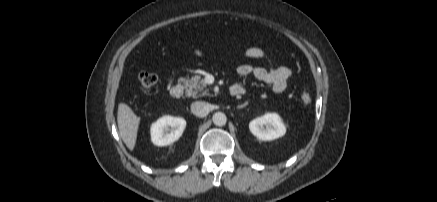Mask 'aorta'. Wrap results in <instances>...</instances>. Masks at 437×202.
I'll return each mask as SVG.
<instances>
[{
  "label": "aorta",
  "mask_w": 437,
  "mask_h": 202,
  "mask_svg": "<svg viewBox=\"0 0 437 202\" xmlns=\"http://www.w3.org/2000/svg\"><path fill=\"white\" fill-rule=\"evenodd\" d=\"M213 123L216 126H224L227 122V117L222 112H216L212 117Z\"/></svg>",
  "instance_id": "obj_1"
}]
</instances>
